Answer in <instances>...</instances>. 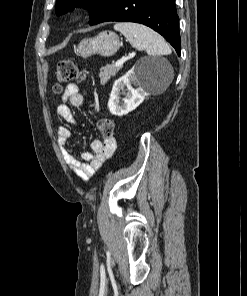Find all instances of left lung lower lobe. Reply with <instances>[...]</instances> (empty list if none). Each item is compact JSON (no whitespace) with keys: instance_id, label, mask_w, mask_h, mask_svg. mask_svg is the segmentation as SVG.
I'll return each instance as SVG.
<instances>
[{"instance_id":"obj_1","label":"left lung lower lobe","mask_w":247,"mask_h":296,"mask_svg":"<svg viewBox=\"0 0 247 296\" xmlns=\"http://www.w3.org/2000/svg\"><path fill=\"white\" fill-rule=\"evenodd\" d=\"M107 21L144 24L161 34L180 55L179 17L175 0H110L91 19L90 25Z\"/></svg>"}]
</instances>
